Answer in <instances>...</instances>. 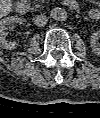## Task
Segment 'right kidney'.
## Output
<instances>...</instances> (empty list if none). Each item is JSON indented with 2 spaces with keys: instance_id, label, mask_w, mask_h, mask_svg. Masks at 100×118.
<instances>
[{
  "instance_id": "1",
  "label": "right kidney",
  "mask_w": 100,
  "mask_h": 118,
  "mask_svg": "<svg viewBox=\"0 0 100 118\" xmlns=\"http://www.w3.org/2000/svg\"><path fill=\"white\" fill-rule=\"evenodd\" d=\"M22 24L23 21L17 16H9L0 20V47L7 50H13L17 48L16 42L7 41L6 38L9 34L8 26L11 24Z\"/></svg>"
}]
</instances>
